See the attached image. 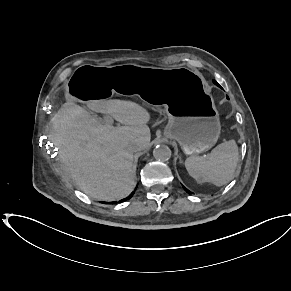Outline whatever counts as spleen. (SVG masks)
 <instances>
[{"instance_id": "obj_1", "label": "spleen", "mask_w": 291, "mask_h": 291, "mask_svg": "<svg viewBox=\"0 0 291 291\" xmlns=\"http://www.w3.org/2000/svg\"><path fill=\"white\" fill-rule=\"evenodd\" d=\"M238 157L237 144L234 140H228L216 146L207 156L188 157L185 167L197 182L222 186L232 179Z\"/></svg>"}]
</instances>
